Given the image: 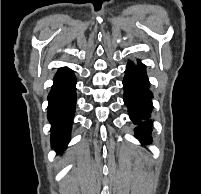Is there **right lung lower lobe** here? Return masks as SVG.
Segmentation results:
<instances>
[{
  "mask_svg": "<svg viewBox=\"0 0 201 194\" xmlns=\"http://www.w3.org/2000/svg\"><path fill=\"white\" fill-rule=\"evenodd\" d=\"M76 78L71 69L60 68L54 77L48 95V120L51 123V145L63 151L70 140V130L75 112Z\"/></svg>",
  "mask_w": 201,
  "mask_h": 194,
  "instance_id": "98d812e1",
  "label": "right lung lower lobe"
}]
</instances>
